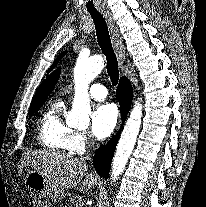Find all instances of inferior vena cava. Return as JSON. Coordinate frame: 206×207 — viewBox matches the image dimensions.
I'll return each instance as SVG.
<instances>
[{
    "label": "inferior vena cava",
    "instance_id": "inferior-vena-cava-1",
    "mask_svg": "<svg viewBox=\"0 0 206 207\" xmlns=\"http://www.w3.org/2000/svg\"><path fill=\"white\" fill-rule=\"evenodd\" d=\"M92 144H93V143H92ZM88 145H89V144H88ZM89 158H90V156L87 155V156L83 157L82 160H86V159H89Z\"/></svg>",
    "mask_w": 206,
    "mask_h": 207
}]
</instances>
